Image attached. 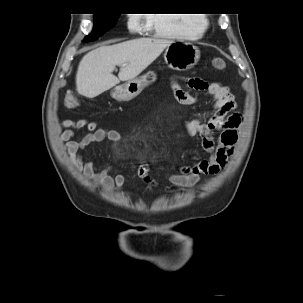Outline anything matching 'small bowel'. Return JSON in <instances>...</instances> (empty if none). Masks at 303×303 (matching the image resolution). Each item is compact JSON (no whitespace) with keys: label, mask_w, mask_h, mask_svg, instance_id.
<instances>
[{"label":"small bowel","mask_w":303,"mask_h":303,"mask_svg":"<svg viewBox=\"0 0 303 303\" xmlns=\"http://www.w3.org/2000/svg\"><path fill=\"white\" fill-rule=\"evenodd\" d=\"M184 83L196 90H203L211 97L212 114L207 120L192 119L184 123L185 132L201 141L202 149L209 154L207 159L200 160L194 167H181L178 172L172 173L169 180L173 188L183 189L197 182L204 174L215 175L226 165L233 152L238 139L237 128L239 118L233 116L226 119L225 116L236 109L234 96L230 89L218 82L207 83L198 78H185ZM173 94L178 103L185 106L198 104L201 99L191 95L182 87L179 77H173L171 81ZM74 130L87 131L81 140H75ZM220 133L216 138L215 134ZM58 141L64 144L73 166L81 171L85 177L94 182L98 187L107 191L121 189L125 183L124 175L119 172L111 175L112 167L107 166L99 170L97 162L83 159V150L91 144L113 142L122 143L123 137L115 130L100 128L95 121L87 119L64 120L58 131ZM137 175L145 185L153 186L156 180L150 175L146 165L139 166Z\"/></svg>","instance_id":"1"}]
</instances>
